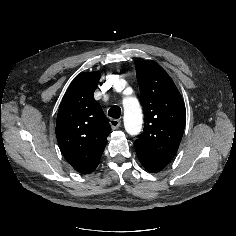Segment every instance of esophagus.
<instances>
[{"mask_svg":"<svg viewBox=\"0 0 236 236\" xmlns=\"http://www.w3.org/2000/svg\"><path fill=\"white\" fill-rule=\"evenodd\" d=\"M120 120L119 119H115V118H112L111 120H110V125H111V127L113 128V129H116V128H118L119 126H120Z\"/></svg>","mask_w":236,"mask_h":236,"instance_id":"obj_1","label":"esophagus"}]
</instances>
